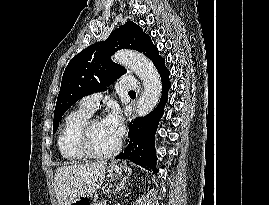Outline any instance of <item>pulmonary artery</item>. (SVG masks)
<instances>
[{
    "label": "pulmonary artery",
    "instance_id": "pulmonary-artery-1",
    "mask_svg": "<svg viewBox=\"0 0 269 205\" xmlns=\"http://www.w3.org/2000/svg\"><path fill=\"white\" fill-rule=\"evenodd\" d=\"M120 86L123 89L134 90L138 88V82L134 77L124 76L120 79ZM101 98V93H94L88 96L83 97L80 100V107L87 110L90 113H93L99 103Z\"/></svg>",
    "mask_w": 269,
    "mask_h": 205
}]
</instances>
